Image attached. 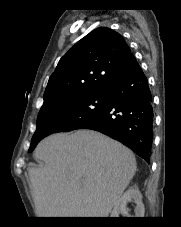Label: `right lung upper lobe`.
<instances>
[{
  "label": "right lung upper lobe",
  "instance_id": "1",
  "mask_svg": "<svg viewBox=\"0 0 181 227\" xmlns=\"http://www.w3.org/2000/svg\"><path fill=\"white\" fill-rule=\"evenodd\" d=\"M117 32L101 27L77 42L59 61L44 92V109L57 102L108 90L134 61Z\"/></svg>",
  "mask_w": 181,
  "mask_h": 227
}]
</instances>
